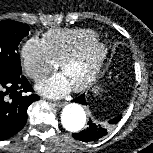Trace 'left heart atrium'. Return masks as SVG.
Segmentation results:
<instances>
[{
	"label": "left heart atrium",
	"instance_id": "39dd6f15",
	"mask_svg": "<svg viewBox=\"0 0 153 153\" xmlns=\"http://www.w3.org/2000/svg\"><path fill=\"white\" fill-rule=\"evenodd\" d=\"M71 88V83L62 73L53 75L37 86L40 93L50 98H60L66 95Z\"/></svg>",
	"mask_w": 153,
	"mask_h": 153
}]
</instances>
